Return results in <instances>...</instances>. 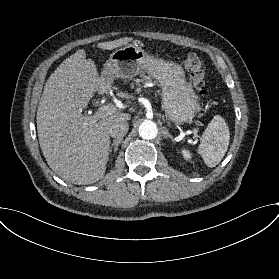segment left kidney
I'll list each match as a JSON object with an SVG mask.
<instances>
[{
	"mask_svg": "<svg viewBox=\"0 0 279 279\" xmlns=\"http://www.w3.org/2000/svg\"><path fill=\"white\" fill-rule=\"evenodd\" d=\"M181 152H182V155H183V157H184L185 160H187V161L191 160L192 154L190 153L189 150L182 149Z\"/></svg>",
	"mask_w": 279,
	"mask_h": 279,
	"instance_id": "5707ae66",
	"label": "left kidney"
}]
</instances>
